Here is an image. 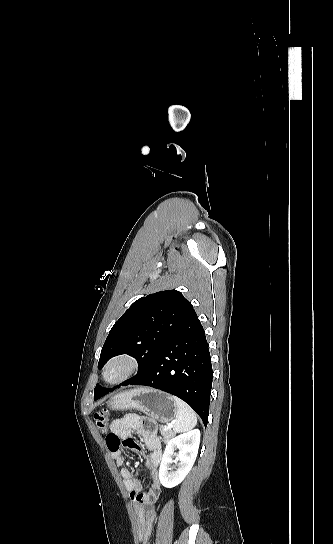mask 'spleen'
<instances>
[{
    "label": "spleen",
    "mask_w": 333,
    "mask_h": 544,
    "mask_svg": "<svg viewBox=\"0 0 333 544\" xmlns=\"http://www.w3.org/2000/svg\"><path fill=\"white\" fill-rule=\"evenodd\" d=\"M172 399L177 407L173 425L174 432H184L194 428L197 424V417L192 408L176 396H172Z\"/></svg>",
    "instance_id": "1"
}]
</instances>
